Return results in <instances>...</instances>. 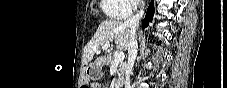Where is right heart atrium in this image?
<instances>
[{
  "instance_id": "obj_1",
  "label": "right heart atrium",
  "mask_w": 227,
  "mask_h": 88,
  "mask_svg": "<svg viewBox=\"0 0 227 88\" xmlns=\"http://www.w3.org/2000/svg\"><path fill=\"white\" fill-rule=\"evenodd\" d=\"M127 3L129 5V9H128L127 14H126L127 16L134 13L140 5L139 0H127Z\"/></svg>"
}]
</instances>
